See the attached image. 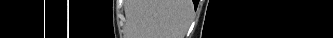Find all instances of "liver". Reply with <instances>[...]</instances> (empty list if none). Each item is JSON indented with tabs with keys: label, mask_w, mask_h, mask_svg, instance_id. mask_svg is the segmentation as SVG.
Listing matches in <instances>:
<instances>
[{
	"label": "liver",
	"mask_w": 333,
	"mask_h": 38,
	"mask_svg": "<svg viewBox=\"0 0 333 38\" xmlns=\"http://www.w3.org/2000/svg\"><path fill=\"white\" fill-rule=\"evenodd\" d=\"M193 15L191 0H137V38H184Z\"/></svg>",
	"instance_id": "1"
}]
</instances>
